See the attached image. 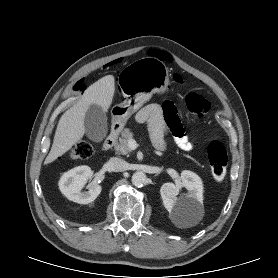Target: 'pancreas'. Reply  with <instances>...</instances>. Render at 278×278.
I'll return each instance as SVG.
<instances>
[{"label": "pancreas", "instance_id": "obj_1", "mask_svg": "<svg viewBox=\"0 0 278 278\" xmlns=\"http://www.w3.org/2000/svg\"><path fill=\"white\" fill-rule=\"evenodd\" d=\"M134 134L130 129H125L122 134L121 138L118 143L115 145V150L117 154H122V155H129L130 149L128 147V141L130 139H133Z\"/></svg>", "mask_w": 278, "mask_h": 278}]
</instances>
